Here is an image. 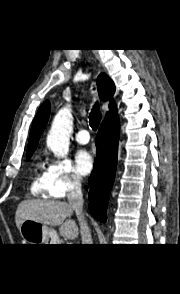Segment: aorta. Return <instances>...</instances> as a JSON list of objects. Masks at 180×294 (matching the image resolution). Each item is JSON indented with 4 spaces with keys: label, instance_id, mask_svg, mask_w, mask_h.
Instances as JSON below:
<instances>
[{
    "label": "aorta",
    "instance_id": "obj_1",
    "mask_svg": "<svg viewBox=\"0 0 180 294\" xmlns=\"http://www.w3.org/2000/svg\"><path fill=\"white\" fill-rule=\"evenodd\" d=\"M72 129L71 109L69 106H66L54 117L49 135L47 136V146L56 157H64L68 153Z\"/></svg>",
    "mask_w": 180,
    "mask_h": 294
}]
</instances>
